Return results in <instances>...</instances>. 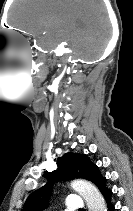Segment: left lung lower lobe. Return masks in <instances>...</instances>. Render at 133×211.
Instances as JSON below:
<instances>
[{
  "label": "left lung lower lobe",
  "mask_w": 133,
  "mask_h": 211,
  "mask_svg": "<svg viewBox=\"0 0 133 211\" xmlns=\"http://www.w3.org/2000/svg\"><path fill=\"white\" fill-rule=\"evenodd\" d=\"M102 195L104 196L106 203H107V207L109 211H114V205L111 202V197H112V191L106 187L105 189H103L101 191Z\"/></svg>",
  "instance_id": "0a47b994"
}]
</instances>
